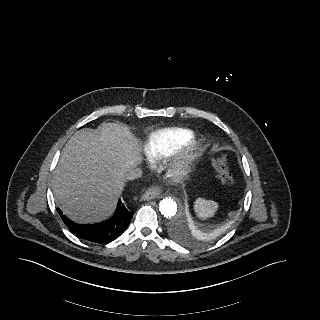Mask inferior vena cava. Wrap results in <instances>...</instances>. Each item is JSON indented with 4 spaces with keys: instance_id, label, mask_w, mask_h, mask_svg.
<instances>
[{
    "instance_id": "1",
    "label": "inferior vena cava",
    "mask_w": 320,
    "mask_h": 320,
    "mask_svg": "<svg viewBox=\"0 0 320 320\" xmlns=\"http://www.w3.org/2000/svg\"><path fill=\"white\" fill-rule=\"evenodd\" d=\"M142 176V170L140 168H131L125 173V179L134 180Z\"/></svg>"
}]
</instances>
